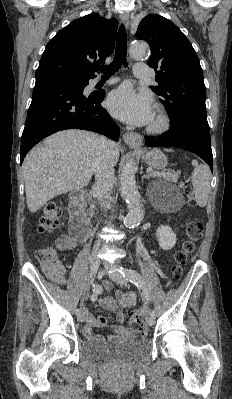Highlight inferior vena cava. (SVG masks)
<instances>
[{
  "label": "inferior vena cava",
  "mask_w": 232,
  "mask_h": 399,
  "mask_svg": "<svg viewBox=\"0 0 232 399\" xmlns=\"http://www.w3.org/2000/svg\"><path fill=\"white\" fill-rule=\"evenodd\" d=\"M97 142L100 144L101 150L100 154H98L97 164L93 168L95 172V192L98 200L102 201L103 207L110 209L111 205L107 200H110L109 194L115 184L110 148L114 146V142H109L104 136H99ZM103 245V241H96L91 248L92 263L101 262V259H99L95 252H99L103 248Z\"/></svg>",
  "instance_id": "1"
}]
</instances>
